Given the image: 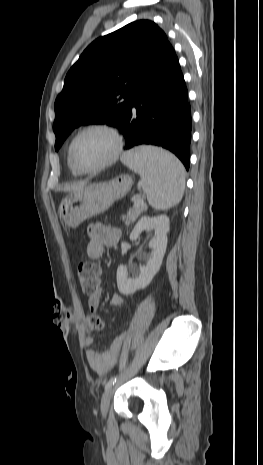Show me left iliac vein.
Segmentation results:
<instances>
[{"mask_svg": "<svg viewBox=\"0 0 263 465\" xmlns=\"http://www.w3.org/2000/svg\"><path fill=\"white\" fill-rule=\"evenodd\" d=\"M112 392H113V386L108 388L103 394L102 401H101V414L103 417H106L107 415Z\"/></svg>", "mask_w": 263, "mask_h": 465, "instance_id": "1", "label": "left iliac vein"}]
</instances>
